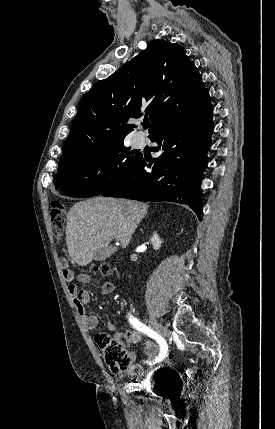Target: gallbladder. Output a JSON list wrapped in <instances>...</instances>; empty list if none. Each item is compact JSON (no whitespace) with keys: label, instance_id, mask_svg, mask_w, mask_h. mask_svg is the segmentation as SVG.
Masks as SVG:
<instances>
[{"label":"gallbladder","instance_id":"bac80fb5","mask_svg":"<svg viewBox=\"0 0 275 429\" xmlns=\"http://www.w3.org/2000/svg\"><path fill=\"white\" fill-rule=\"evenodd\" d=\"M114 251L115 249L112 247L100 248L95 252L93 259L95 261H103L110 257L114 253Z\"/></svg>","mask_w":275,"mask_h":429}]
</instances>
